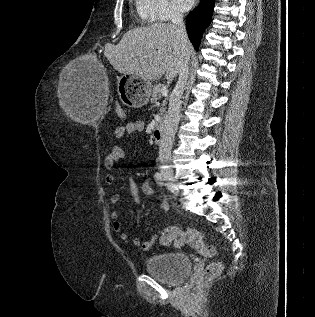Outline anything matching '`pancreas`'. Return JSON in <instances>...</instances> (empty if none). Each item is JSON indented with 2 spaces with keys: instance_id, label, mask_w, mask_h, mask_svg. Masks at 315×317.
<instances>
[{
  "instance_id": "obj_1",
  "label": "pancreas",
  "mask_w": 315,
  "mask_h": 317,
  "mask_svg": "<svg viewBox=\"0 0 315 317\" xmlns=\"http://www.w3.org/2000/svg\"><path fill=\"white\" fill-rule=\"evenodd\" d=\"M165 88L164 85H155L153 90H152V98H151V102H156L160 97H161V91L162 89ZM164 109H161V112H163Z\"/></svg>"
}]
</instances>
